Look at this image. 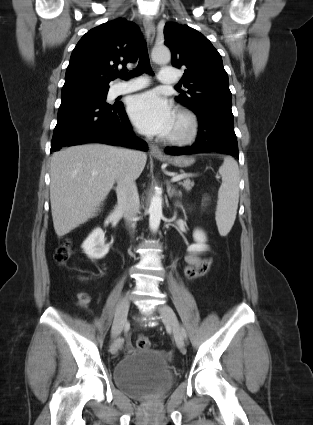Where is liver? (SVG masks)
I'll return each instance as SVG.
<instances>
[{"instance_id":"6515ba94","label":"liver","mask_w":313,"mask_h":425,"mask_svg":"<svg viewBox=\"0 0 313 425\" xmlns=\"http://www.w3.org/2000/svg\"><path fill=\"white\" fill-rule=\"evenodd\" d=\"M123 150L109 145L87 144L62 149L52 155L50 201L58 237L95 216L122 170L127 169L134 179L141 175L147 155L138 152V157L127 163Z\"/></svg>"}]
</instances>
